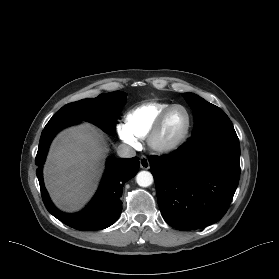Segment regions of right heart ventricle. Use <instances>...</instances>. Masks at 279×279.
Returning <instances> with one entry per match:
<instances>
[{"mask_svg": "<svg viewBox=\"0 0 279 279\" xmlns=\"http://www.w3.org/2000/svg\"><path fill=\"white\" fill-rule=\"evenodd\" d=\"M170 105L166 101L143 103L125 114L124 126L136 139H145L157 117Z\"/></svg>", "mask_w": 279, "mask_h": 279, "instance_id": "right-heart-ventricle-1", "label": "right heart ventricle"}]
</instances>
